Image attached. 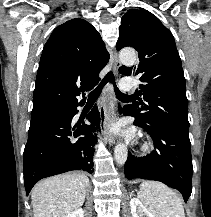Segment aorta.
<instances>
[{
	"mask_svg": "<svg viewBox=\"0 0 211 217\" xmlns=\"http://www.w3.org/2000/svg\"><path fill=\"white\" fill-rule=\"evenodd\" d=\"M120 61L126 65L135 64L137 57L133 49H123L119 52ZM113 108V103H110ZM127 147L123 143H119L115 146L114 157L118 164L123 165L127 160Z\"/></svg>",
	"mask_w": 211,
	"mask_h": 217,
	"instance_id": "762f6f07",
	"label": "aorta"
}]
</instances>
